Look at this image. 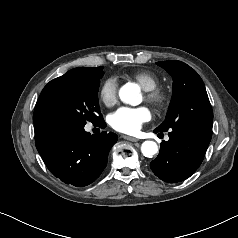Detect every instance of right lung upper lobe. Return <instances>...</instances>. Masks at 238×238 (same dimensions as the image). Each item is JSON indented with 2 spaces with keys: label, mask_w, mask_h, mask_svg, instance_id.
<instances>
[{
  "label": "right lung upper lobe",
  "mask_w": 238,
  "mask_h": 238,
  "mask_svg": "<svg viewBox=\"0 0 238 238\" xmlns=\"http://www.w3.org/2000/svg\"><path fill=\"white\" fill-rule=\"evenodd\" d=\"M86 68L88 67H78L76 69L84 70ZM49 113H50L49 100L46 94V87H44L35 106V111L33 116L35 128L52 124V120L49 116L50 115Z\"/></svg>",
  "instance_id": "right-lung-upper-lobe-1"
}]
</instances>
